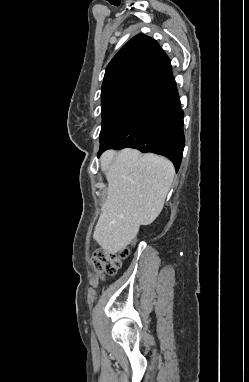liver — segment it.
<instances>
[{
    "instance_id": "6515ba94",
    "label": "liver",
    "mask_w": 249,
    "mask_h": 382,
    "mask_svg": "<svg viewBox=\"0 0 249 382\" xmlns=\"http://www.w3.org/2000/svg\"><path fill=\"white\" fill-rule=\"evenodd\" d=\"M108 194L94 230V239L109 254L124 250L141 225L161 213L175 170L165 157L136 149L108 150L100 158Z\"/></svg>"
}]
</instances>
